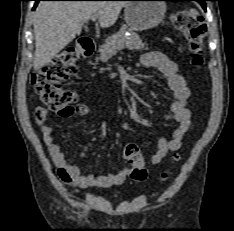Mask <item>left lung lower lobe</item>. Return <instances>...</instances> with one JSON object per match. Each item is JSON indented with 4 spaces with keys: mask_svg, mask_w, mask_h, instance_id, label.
Returning a JSON list of instances; mask_svg holds the SVG:
<instances>
[{
    "mask_svg": "<svg viewBox=\"0 0 234 231\" xmlns=\"http://www.w3.org/2000/svg\"><path fill=\"white\" fill-rule=\"evenodd\" d=\"M167 1H173V0H167ZM175 1H197L202 5L203 9L206 11L205 1L209 0H175Z\"/></svg>",
    "mask_w": 234,
    "mask_h": 231,
    "instance_id": "left-lung-lower-lobe-1",
    "label": "left lung lower lobe"
}]
</instances>
